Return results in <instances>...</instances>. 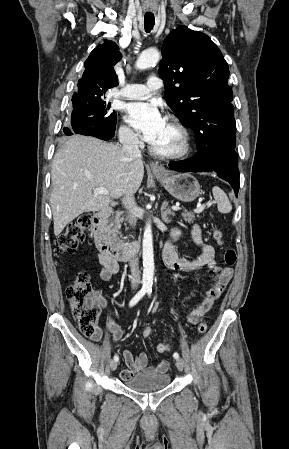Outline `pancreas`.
Returning <instances> with one entry per match:
<instances>
[{"mask_svg":"<svg viewBox=\"0 0 289 449\" xmlns=\"http://www.w3.org/2000/svg\"><path fill=\"white\" fill-rule=\"evenodd\" d=\"M122 212H118L114 217L110 218L106 225V232L111 235V238L115 241H121L118 237L121 230V223L124 221V218L121 217ZM183 219L192 223L195 219V215L192 212L184 211L182 214Z\"/></svg>","mask_w":289,"mask_h":449,"instance_id":"pancreas-1","label":"pancreas"}]
</instances>
